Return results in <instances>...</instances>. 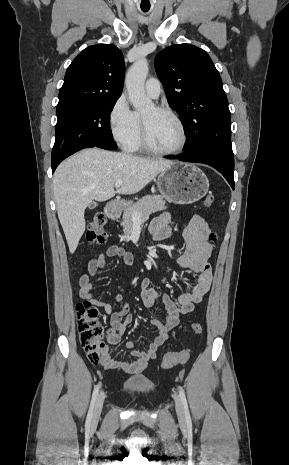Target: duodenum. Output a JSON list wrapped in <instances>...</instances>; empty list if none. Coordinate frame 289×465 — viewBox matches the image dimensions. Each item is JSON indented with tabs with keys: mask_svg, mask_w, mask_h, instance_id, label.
<instances>
[{
	"mask_svg": "<svg viewBox=\"0 0 289 465\" xmlns=\"http://www.w3.org/2000/svg\"><path fill=\"white\" fill-rule=\"evenodd\" d=\"M121 211L120 201L117 199L110 200L105 208V213L110 219H116Z\"/></svg>",
	"mask_w": 289,
	"mask_h": 465,
	"instance_id": "1",
	"label": "duodenum"
}]
</instances>
